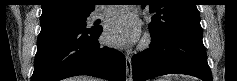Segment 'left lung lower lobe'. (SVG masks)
<instances>
[{
  "instance_id": "1",
  "label": "left lung lower lobe",
  "mask_w": 237,
  "mask_h": 81,
  "mask_svg": "<svg viewBox=\"0 0 237 81\" xmlns=\"http://www.w3.org/2000/svg\"><path fill=\"white\" fill-rule=\"evenodd\" d=\"M202 37V29H182L152 39L149 49L132 57L133 80L177 73L212 81Z\"/></svg>"
}]
</instances>
